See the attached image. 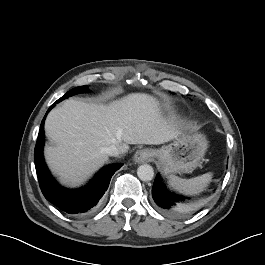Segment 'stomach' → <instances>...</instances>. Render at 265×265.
<instances>
[{"mask_svg": "<svg viewBox=\"0 0 265 265\" xmlns=\"http://www.w3.org/2000/svg\"><path fill=\"white\" fill-rule=\"evenodd\" d=\"M208 148L206 137L191 128L179 133L172 143L154 151L165 174L191 173L201 165Z\"/></svg>", "mask_w": 265, "mask_h": 265, "instance_id": "0dacf381", "label": "stomach"}]
</instances>
